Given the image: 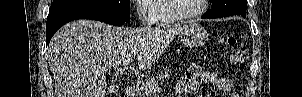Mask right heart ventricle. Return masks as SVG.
I'll return each instance as SVG.
<instances>
[{
    "instance_id": "right-heart-ventricle-1",
    "label": "right heart ventricle",
    "mask_w": 302,
    "mask_h": 97,
    "mask_svg": "<svg viewBox=\"0 0 302 97\" xmlns=\"http://www.w3.org/2000/svg\"><path fill=\"white\" fill-rule=\"evenodd\" d=\"M150 13L154 17L153 24L159 27H166L177 22L168 10V0H154L149 5Z\"/></svg>"
}]
</instances>
